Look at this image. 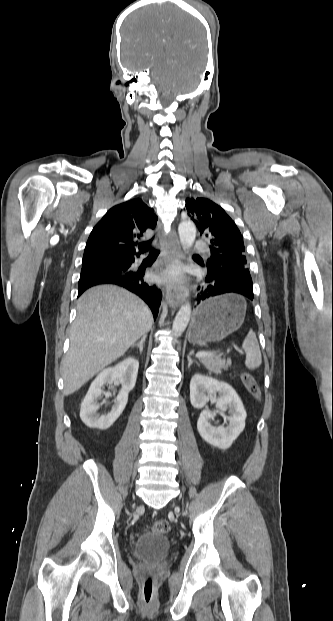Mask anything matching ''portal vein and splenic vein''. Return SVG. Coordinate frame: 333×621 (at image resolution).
Returning <instances> with one entry per match:
<instances>
[{
    "label": "portal vein and splenic vein",
    "mask_w": 333,
    "mask_h": 621,
    "mask_svg": "<svg viewBox=\"0 0 333 621\" xmlns=\"http://www.w3.org/2000/svg\"><path fill=\"white\" fill-rule=\"evenodd\" d=\"M217 353H218V352H216V351H201V352H198V353L196 354V357H197V358H202V357H206V356H214V355H216Z\"/></svg>",
    "instance_id": "obj_1"
}]
</instances>
